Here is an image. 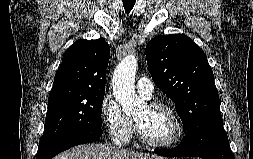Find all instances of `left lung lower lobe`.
I'll return each instance as SVG.
<instances>
[{
	"label": "left lung lower lobe",
	"instance_id": "1",
	"mask_svg": "<svg viewBox=\"0 0 253 159\" xmlns=\"http://www.w3.org/2000/svg\"><path fill=\"white\" fill-rule=\"evenodd\" d=\"M168 157H200L203 159H234L223 122L214 124L200 135L186 136L170 150H155Z\"/></svg>",
	"mask_w": 253,
	"mask_h": 159
}]
</instances>
